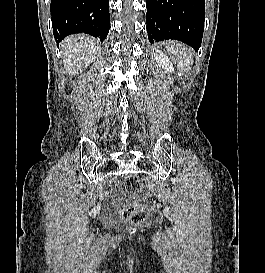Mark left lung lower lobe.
<instances>
[{
    "mask_svg": "<svg viewBox=\"0 0 265 273\" xmlns=\"http://www.w3.org/2000/svg\"><path fill=\"white\" fill-rule=\"evenodd\" d=\"M150 42L175 39L196 51L200 48L205 19V0H146Z\"/></svg>",
    "mask_w": 265,
    "mask_h": 273,
    "instance_id": "left-lung-lower-lobe-1",
    "label": "left lung lower lobe"
}]
</instances>
